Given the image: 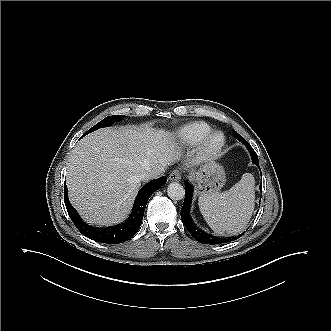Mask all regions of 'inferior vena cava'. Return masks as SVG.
<instances>
[{"mask_svg": "<svg viewBox=\"0 0 331 331\" xmlns=\"http://www.w3.org/2000/svg\"><path fill=\"white\" fill-rule=\"evenodd\" d=\"M163 171H164L163 168L147 171L141 175V179L143 181H149V180L156 179L162 174Z\"/></svg>", "mask_w": 331, "mask_h": 331, "instance_id": "1", "label": "inferior vena cava"}]
</instances>
